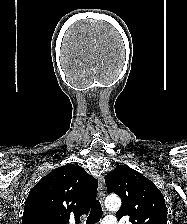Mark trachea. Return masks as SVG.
I'll list each match as a JSON object with an SVG mask.
<instances>
[{"label":"trachea","mask_w":187,"mask_h":224,"mask_svg":"<svg viewBox=\"0 0 187 224\" xmlns=\"http://www.w3.org/2000/svg\"><path fill=\"white\" fill-rule=\"evenodd\" d=\"M102 213V207L100 205V202L97 200L91 208L86 224H97L102 217Z\"/></svg>","instance_id":"trachea-1"}]
</instances>
